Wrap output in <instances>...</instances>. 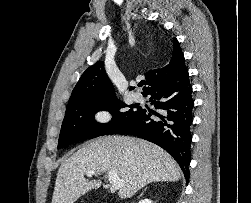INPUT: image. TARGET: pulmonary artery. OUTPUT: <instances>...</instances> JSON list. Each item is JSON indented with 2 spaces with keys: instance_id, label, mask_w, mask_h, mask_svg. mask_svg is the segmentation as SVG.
<instances>
[{
  "instance_id": "pulmonary-artery-1",
  "label": "pulmonary artery",
  "mask_w": 251,
  "mask_h": 203,
  "mask_svg": "<svg viewBox=\"0 0 251 203\" xmlns=\"http://www.w3.org/2000/svg\"><path fill=\"white\" fill-rule=\"evenodd\" d=\"M133 98H134V100L137 101V102H140V101L143 100V96H142V94H141L140 92L134 93Z\"/></svg>"
}]
</instances>
